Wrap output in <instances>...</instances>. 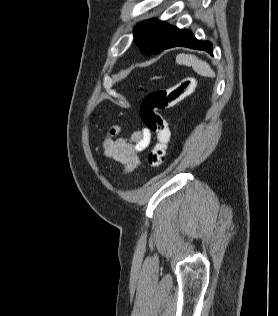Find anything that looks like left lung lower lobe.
Listing matches in <instances>:
<instances>
[{"label":"left lung lower lobe","mask_w":278,"mask_h":316,"mask_svg":"<svg viewBox=\"0 0 278 316\" xmlns=\"http://www.w3.org/2000/svg\"><path fill=\"white\" fill-rule=\"evenodd\" d=\"M177 46L204 50L208 52L210 55H213L212 43L196 39L190 30L178 29L173 39L167 44V46L164 49H169Z\"/></svg>","instance_id":"1"}]
</instances>
